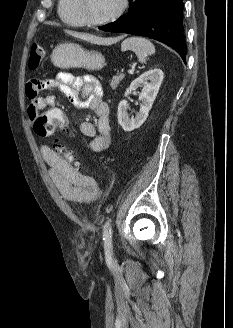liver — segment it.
Listing matches in <instances>:
<instances>
[{"label":"liver","instance_id":"1","mask_svg":"<svg viewBox=\"0 0 233 328\" xmlns=\"http://www.w3.org/2000/svg\"><path fill=\"white\" fill-rule=\"evenodd\" d=\"M65 32L67 34L71 35L72 37L79 38L81 40L88 41V42H91L94 44H100V43L104 42V40L102 38H99L95 35H91L88 33H80V32L71 31V30H65Z\"/></svg>","mask_w":233,"mask_h":328}]
</instances>
